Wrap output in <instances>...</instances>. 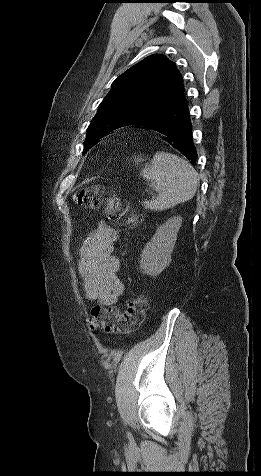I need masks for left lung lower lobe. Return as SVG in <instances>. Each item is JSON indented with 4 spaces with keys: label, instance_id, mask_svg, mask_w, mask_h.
I'll return each mask as SVG.
<instances>
[{
    "label": "left lung lower lobe",
    "instance_id": "obj_1",
    "mask_svg": "<svg viewBox=\"0 0 261 476\" xmlns=\"http://www.w3.org/2000/svg\"><path fill=\"white\" fill-rule=\"evenodd\" d=\"M130 125H140L157 131L162 134L163 140L168 145L181 152L191 163H196L197 153L193 144L192 124L185 97L160 115H152Z\"/></svg>",
    "mask_w": 261,
    "mask_h": 476
}]
</instances>
